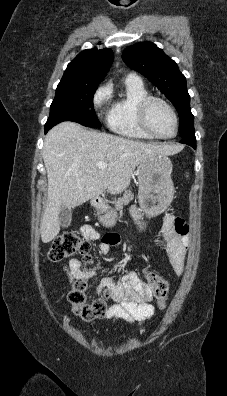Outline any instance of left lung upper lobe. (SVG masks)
<instances>
[{
	"mask_svg": "<svg viewBox=\"0 0 227 396\" xmlns=\"http://www.w3.org/2000/svg\"><path fill=\"white\" fill-rule=\"evenodd\" d=\"M122 59L151 81L175 106L180 118L181 137L194 133V117L186 79L175 61L154 43H137L126 48Z\"/></svg>",
	"mask_w": 227,
	"mask_h": 396,
	"instance_id": "5c2ea615",
	"label": "left lung upper lobe"
}]
</instances>
